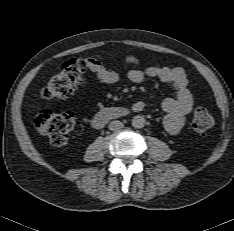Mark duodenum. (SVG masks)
Masks as SVG:
<instances>
[{
    "label": "duodenum",
    "mask_w": 234,
    "mask_h": 231,
    "mask_svg": "<svg viewBox=\"0 0 234 231\" xmlns=\"http://www.w3.org/2000/svg\"><path fill=\"white\" fill-rule=\"evenodd\" d=\"M127 114L128 109L125 107H107L97 112L93 116L92 122L94 126L100 127L108 121L124 117Z\"/></svg>",
    "instance_id": "duodenum-1"
}]
</instances>
